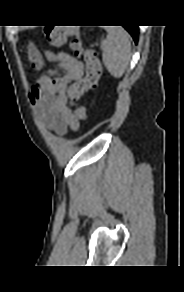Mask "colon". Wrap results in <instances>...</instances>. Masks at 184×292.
I'll use <instances>...</instances> for the list:
<instances>
[{
	"label": "colon",
	"instance_id": "5ec220e1",
	"mask_svg": "<svg viewBox=\"0 0 184 292\" xmlns=\"http://www.w3.org/2000/svg\"><path fill=\"white\" fill-rule=\"evenodd\" d=\"M51 47H61L70 39V46L78 58L85 62V75L68 89L69 104L74 107V116L82 121L88 118L84 107H76L79 99L89 90L96 88L101 75V64L95 50L83 46L78 25L55 26L45 29Z\"/></svg>",
	"mask_w": 184,
	"mask_h": 292
}]
</instances>
